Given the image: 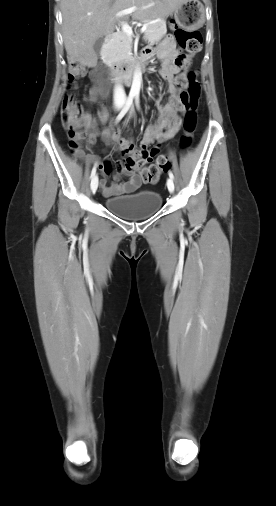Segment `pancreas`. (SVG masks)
<instances>
[{"instance_id":"cf45deb5","label":"pancreas","mask_w":276,"mask_h":506,"mask_svg":"<svg viewBox=\"0 0 276 506\" xmlns=\"http://www.w3.org/2000/svg\"><path fill=\"white\" fill-rule=\"evenodd\" d=\"M165 33L166 25L164 22L149 23L147 24L144 39L152 42L162 37ZM131 49V38L123 31L118 32L113 35L111 41L106 46L104 53L105 61L121 62L131 56Z\"/></svg>"}]
</instances>
